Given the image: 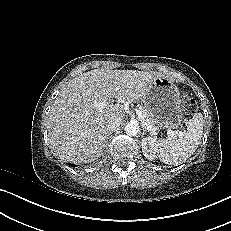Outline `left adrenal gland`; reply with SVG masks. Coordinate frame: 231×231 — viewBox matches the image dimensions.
Masks as SVG:
<instances>
[{
  "label": "left adrenal gland",
  "instance_id": "a2214340",
  "mask_svg": "<svg viewBox=\"0 0 231 231\" xmlns=\"http://www.w3.org/2000/svg\"><path fill=\"white\" fill-rule=\"evenodd\" d=\"M145 131H146V130L143 128V135H145Z\"/></svg>",
  "mask_w": 231,
  "mask_h": 231
}]
</instances>
